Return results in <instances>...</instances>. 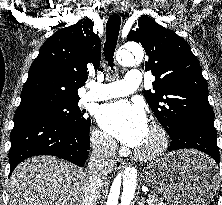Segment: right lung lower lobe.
I'll return each instance as SVG.
<instances>
[{
	"instance_id": "1",
	"label": "right lung lower lobe",
	"mask_w": 222,
	"mask_h": 205,
	"mask_svg": "<svg viewBox=\"0 0 222 205\" xmlns=\"http://www.w3.org/2000/svg\"><path fill=\"white\" fill-rule=\"evenodd\" d=\"M89 130L68 127L43 115L15 116L10 137V174L21 161L36 155H53L84 165L90 150Z\"/></svg>"
}]
</instances>
